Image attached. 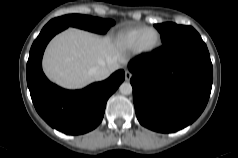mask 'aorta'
I'll return each mask as SVG.
<instances>
[{
    "label": "aorta",
    "mask_w": 238,
    "mask_h": 158,
    "mask_svg": "<svg viewBox=\"0 0 238 158\" xmlns=\"http://www.w3.org/2000/svg\"><path fill=\"white\" fill-rule=\"evenodd\" d=\"M119 91H120V93H122L124 95H129L132 93V86L130 83L124 82L120 85Z\"/></svg>",
    "instance_id": "obj_1"
}]
</instances>
